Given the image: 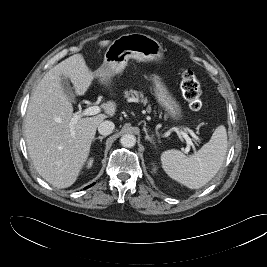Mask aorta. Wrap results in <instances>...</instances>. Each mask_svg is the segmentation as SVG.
Listing matches in <instances>:
<instances>
[{
	"instance_id": "aorta-1",
	"label": "aorta",
	"mask_w": 267,
	"mask_h": 267,
	"mask_svg": "<svg viewBox=\"0 0 267 267\" xmlns=\"http://www.w3.org/2000/svg\"><path fill=\"white\" fill-rule=\"evenodd\" d=\"M120 143L123 147L131 148L136 143V137L132 134H124L120 138Z\"/></svg>"
}]
</instances>
